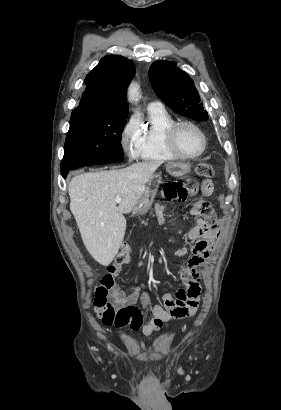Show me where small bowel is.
Masks as SVG:
<instances>
[{
	"label": "small bowel",
	"instance_id": "small-bowel-1",
	"mask_svg": "<svg viewBox=\"0 0 281 410\" xmlns=\"http://www.w3.org/2000/svg\"><path fill=\"white\" fill-rule=\"evenodd\" d=\"M213 185L210 180H202L200 182L201 197L193 204L190 215L186 219V223L193 222V226L187 231L186 237L188 244L174 250L175 255L184 256L190 252V256L185 264L179 268V276L184 285L183 288L177 290L175 295L164 292L162 295L163 305H155L150 308L145 315V324L143 323V315L141 313L140 323L134 331L142 330L145 335L158 330L164 322L173 318H183L191 316L196 309L190 313L183 311L188 307L190 300L199 301V267L202 266L211 253L215 249L219 241L220 231L216 219L209 206L206 204L205 198L211 195ZM156 217L160 226L165 225L166 218L164 215V205L158 203L156 205ZM183 227L175 229V233L179 234ZM194 243L192 246L189 244ZM123 266L120 264H112L107 267V272L101 279V285L97 289L94 306L95 312L100 317L107 310L115 311L141 310L138 307L140 303L144 309L150 305L148 296L141 292L139 287L134 288L131 292H126L120 289L116 282L117 277L122 271ZM130 322H133V317L130 316Z\"/></svg>",
	"mask_w": 281,
	"mask_h": 410
}]
</instances>
